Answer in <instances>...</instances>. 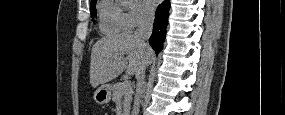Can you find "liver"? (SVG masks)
Here are the masks:
<instances>
[{
  "mask_svg": "<svg viewBox=\"0 0 285 115\" xmlns=\"http://www.w3.org/2000/svg\"><path fill=\"white\" fill-rule=\"evenodd\" d=\"M153 50L145 49L133 35L121 33L98 40L91 52L90 84L93 88L105 85L124 70L134 75L142 64L148 65Z\"/></svg>",
  "mask_w": 285,
  "mask_h": 115,
  "instance_id": "1",
  "label": "liver"
}]
</instances>
